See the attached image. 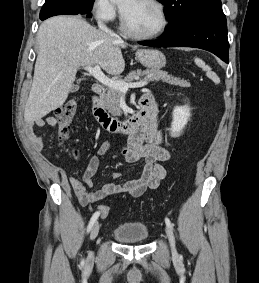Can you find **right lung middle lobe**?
Returning a JSON list of instances; mask_svg holds the SVG:
<instances>
[{"mask_svg": "<svg viewBox=\"0 0 259 283\" xmlns=\"http://www.w3.org/2000/svg\"><path fill=\"white\" fill-rule=\"evenodd\" d=\"M90 4H92L94 2V0H87Z\"/></svg>", "mask_w": 259, "mask_h": 283, "instance_id": "obj_1", "label": "right lung middle lobe"}]
</instances>
